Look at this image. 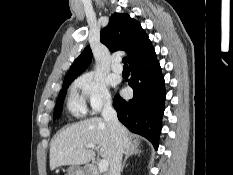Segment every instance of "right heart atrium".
I'll return each mask as SVG.
<instances>
[{
  "label": "right heart atrium",
  "mask_w": 233,
  "mask_h": 175,
  "mask_svg": "<svg viewBox=\"0 0 233 175\" xmlns=\"http://www.w3.org/2000/svg\"><path fill=\"white\" fill-rule=\"evenodd\" d=\"M73 89L79 94V98L85 107H89L93 114L110 107L112 103L105 81L90 73L78 77L73 83Z\"/></svg>",
  "instance_id": "obj_1"
}]
</instances>
